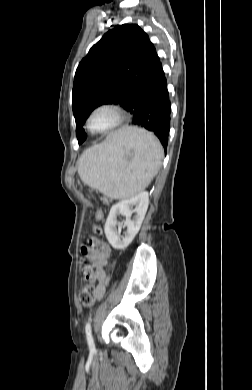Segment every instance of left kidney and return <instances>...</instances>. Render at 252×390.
I'll list each match as a JSON object with an SVG mask.
<instances>
[{"mask_svg": "<svg viewBox=\"0 0 252 390\" xmlns=\"http://www.w3.org/2000/svg\"><path fill=\"white\" fill-rule=\"evenodd\" d=\"M148 204V192H141L112 206L105 223L104 231L108 242L114 249H125L132 242L141 227ZM133 206H136V214L131 219L133 213L131 208ZM120 214L126 217L124 224H119L118 226L119 229L127 227L124 237L120 236V232L116 228L117 216Z\"/></svg>", "mask_w": 252, "mask_h": 390, "instance_id": "1", "label": "left kidney"}]
</instances>
